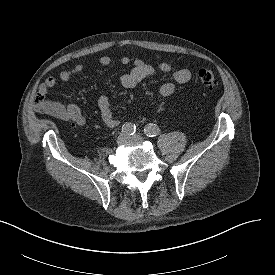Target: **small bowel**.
Wrapping results in <instances>:
<instances>
[{
	"mask_svg": "<svg viewBox=\"0 0 275 275\" xmlns=\"http://www.w3.org/2000/svg\"><path fill=\"white\" fill-rule=\"evenodd\" d=\"M99 61L102 66H108L111 63V58L104 55ZM130 62L131 59L128 56H123L121 58V63L124 65H127ZM84 68V63H78L69 69L62 70L59 73V79L61 81H68L76 74L82 72ZM156 70L169 76L171 79L163 82L159 88V93L163 97H169L175 92L176 83L185 84L191 79V72L187 69H178L166 62H161L156 66H153L140 58H136L133 60V67L131 70L120 77V83L125 88H133L142 80L151 76ZM56 83L57 79L55 77L50 76L46 78V80L39 87V93L45 95L48 89L54 87ZM47 104V113L58 119L68 121L73 125L79 126L86 123V119L80 108L74 104L60 102H47ZM97 104L103 123L109 128L117 127L119 121L112 113L108 96L104 93L99 94Z\"/></svg>",
	"mask_w": 275,
	"mask_h": 275,
	"instance_id": "obj_1",
	"label": "small bowel"
}]
</instances>
